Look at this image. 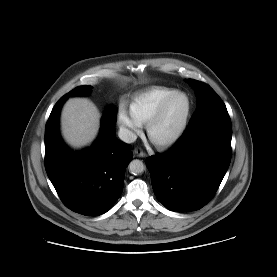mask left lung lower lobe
<instances>
[{
  "label": "left lung lower lobe",
  "mask_w": 277,
  "mask_h": 277,
  "mask_svg": "<svg viewBox=\"0 0 277 277\" xmlns=\"http://www.w3.org/2000/svg\"><path fill=\"white\" fill-rule=\"evenodd\" d=\"M231 138L227 110L216 111L189 124L170 150L149 157L146 165L159 202L178 212L205 206L229 167Z\"/></svg>",
  "instance_id": "left-lung-lower-lobe-1"
}]
</instances>
